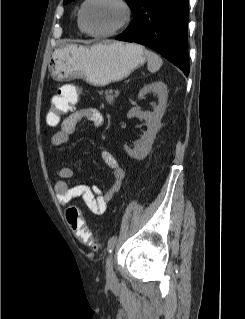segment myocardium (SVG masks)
<instances>
[{"mask_svg": "<svg viewBox=\"0 0 245 319\" xmlns=\"http://www.w3.org/2000/svg\"><path fill=\"white\" fill-rule=\"evenodd\" d=\"M96 0H85L81 6L80 12H79V24L83 32H85L87 35L94 37V38H108L112 37L116 34H118L121 30H123L131 21L132 19V7L128 3L127 0H107L109 2H112L114 4H117L123 11V18L121 22L114 27L113 29L106 31V32H91L87 29L85 25V12L88 7V5Z\"/></svg>", "mask_w": 245, "mask_h": 319, "instance_id": "1", "label": "myocardium"}]
</instances>
